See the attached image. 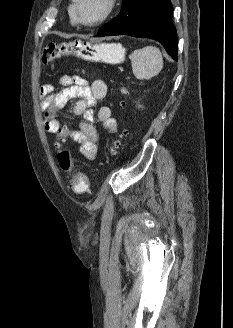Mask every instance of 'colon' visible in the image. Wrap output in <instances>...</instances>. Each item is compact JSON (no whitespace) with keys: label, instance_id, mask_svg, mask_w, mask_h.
Masks as SVG:
<instances>
[{"label":"colon","instance_id":"colon-1","mask_svg":"<svg viewBox=\"0 0 233 328\" xmlns=\"http://www.w3.org/2000/svg\"><path fill=\"white\" fill-rule=\"evenodd\" d=\"M76 56L86 61L113 62L122 58V49L114 44H91L84 41H73L65 43H50L42 52V62L49 64L65 56ZM123 94L126 93L122 89ZM126 102L122 101V107ZM71 128L69 125H62L57 133L60 139L69 137ZM126 133H121L113 142L110 148L112 155H117L124 146ZM58 161L63 170L70 175V186L77 193L90 192V182L82 173L81 169L74 164L67 147L60 145L58 149Z\"/></svg>","mask_w":233,"mask_h":328}]
</instances>
